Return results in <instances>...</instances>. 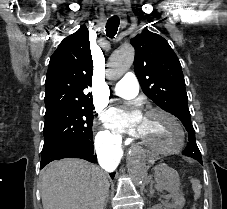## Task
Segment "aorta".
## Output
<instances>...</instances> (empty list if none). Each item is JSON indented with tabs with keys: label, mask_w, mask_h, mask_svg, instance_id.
Returning <instances> with one entry per match:
<instances>
[{
	"label": "aorta",
	"mask_w": 227,
	"mask_h": 209,
	"mask_svg": "<svg viewBox=\"0 0 227 209\" xmlns=\"http://www.w3.org/2000/svg\"><path fill=\"white\" fill-rule=\"evenodd\" d=\"M134 61V49L125 45L116 50L108 62L107 76L117 78L131 67ZM127 170L136 186H142L147 176V165L143 151L140 148L130 150L127 156Z\"/></svg>",
	"instance_id": "1"
}]
</instances>
